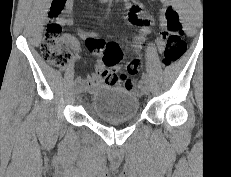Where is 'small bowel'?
I'll list each match as a JSON object with an SVG mask.
<instances>
[{"label":"small bowel","instance_id":"obj_1","mask_svg":"<svg viewBox=\"0 0 231 177\" xmlns=\"http://www.w3.org/2000/svg\"><path fill=\"white\" fill-rule=\"evenodd\" d=\"M58 1L60 5V13L57 17L58 23L62 26H73L72 10H73L74 0H58ZM161 1L164 2L166 0H161ZM126 18L127 21L131 25H133L137 31L132 41V48L137 49L140 45V39L142 38V35L149 32V28L151 25H153L154 19L150 16L141 15L138 12V7L136 5L128 6ZM64 38L74 49L75 51L74 58L79 59L80 46L77 39L70 34H66ZM156 45L159 52H162L164 50V42L161 38L157 40ZM113 73L114 72L112 70H101L100 72L88 77V79L85 81L86 89L88 91H93L95 88L103 84L106 85L114 84L111 82L110 78L108 77L110 74ZM120 77H121L120 82L116 84H122V81L125 77H127V74H121Z\"/></svg>","mask_w":231,"mask_h":177}]
</instances>
